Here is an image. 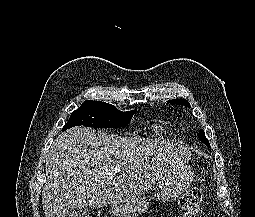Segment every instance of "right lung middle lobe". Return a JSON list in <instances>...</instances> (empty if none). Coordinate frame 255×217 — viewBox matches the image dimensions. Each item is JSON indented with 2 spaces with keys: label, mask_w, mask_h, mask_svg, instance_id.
<instances>
[{
  "label": "right lung middle lobe",
  "mask_w": 255,
  "mask_h": 217,
  "mask_svg": "<svg viewBox=\"0 0 255 217\" xmlns=\"http://www.w3.org/2000/svg\"><path fill=\"white\" fill-rule=\"evenodd\" d=\"M135 111L122 112L111 104L87 100L71 114L63 130L78 125L96 128L121 127L132 119Z\"/></svg>",
  "instance_id": "1"
}]
</instances>
